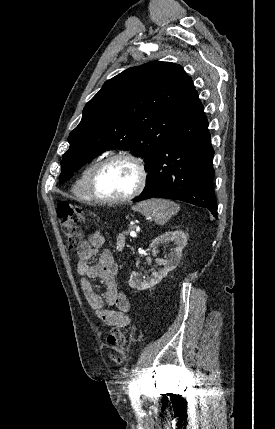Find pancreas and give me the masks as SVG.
<instances>
[{
	"mask_svg": "<svg viewBox=\"0 0 275 429\" xmlns=\"http://www.w3.org/2000/svg\"><path fill=\"white\" fill-rule=\"evenodd\" d=\"M128 235V231H124L116 239V249L118 251H122L125 246L126 236Z\"/></svg>",
	"mask_w": 275,
	"mask_h": 429,
	"instance_id": "cf45deb5",
	"label": "pancreas"
}]
</instances>
